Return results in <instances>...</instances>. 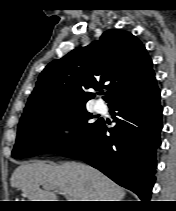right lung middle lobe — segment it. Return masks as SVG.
<instances>
[{"label":"right lung middle lobe","mask_w":176,"mask_h":211,"mask_svg":"<svg viewBox=\"0 0 176 211\" xmlns=\"http://www.w3.org/2000/svg\"><path fill=\"white\" fill-rule=\"evenodd\" d=\"M78 106L64 109H49L20 120L17 140L12 151L16 158L32 157L44 153H59L80 143L87 133L100 121ZM70 120V135L62 134V122Z\"/></svg>","instance_id":"dd1d6c3e"}]
</instances>
